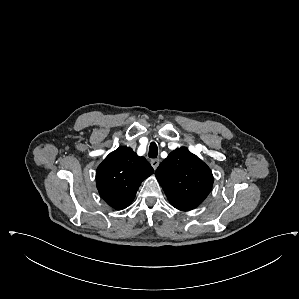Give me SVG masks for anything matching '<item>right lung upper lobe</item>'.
Masks as SVG:
<instances>
[{"label": "right lung upper lobe", "instance_id": "1", "mask_svg": "<svg viewBox=\"0 0 299 299\" xmlns=\"http://www.w3.org/2000/svg\"><path fill=\"white\" fill-rule=\"evenodd\" d=\"M153 173L144 157L137 156L131 148L119 147L98 166L96 185L111 207L122 210L133 201L141 182Z\"/></svg>", "mask_w": 299, "mask_h": 299}]
</instances>
